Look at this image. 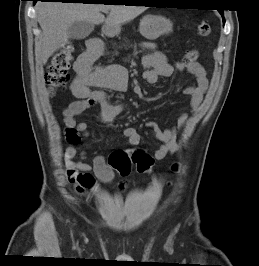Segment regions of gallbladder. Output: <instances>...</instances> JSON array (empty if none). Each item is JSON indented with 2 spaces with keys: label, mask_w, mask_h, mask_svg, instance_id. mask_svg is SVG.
<instances>
[{
  "label": "gallbladder",
  "mask_w": 259,
  "mask_h": 266,
  "mask_svg": "<svg viewBox=\"0 0 259 266\" xmlns=\"http://www.w3.org/2000/svg\"><path fill=\"white\" fill-rule=\"evenodd\" d=\"M94 30V25L88 22L77 21L68 28V35L71 39H84Z\"/></svg>",
  "instance_id": "bac80fb5"
}]
</instances>
